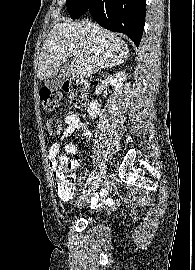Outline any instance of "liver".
Here are the masks:
<instances>
[{
  "label": "liver",
  "instance_id": "liver-1",
  "mask_svg": "<svg viewBox=\"0 0 195 270\" xmlns=\"http://www.w3.org/2000/svg\"><path fill=\"white\" fill-rule=\"evenodd\" d=\"M76 51L69 72L72 78L91 77L101 68H112L128 57V45L121 38L91 21L56 24L44 41L37 77L51 76L70 52Z\"/></svg>",
  "mask_w": 195,
  "mask_h": 270
}]
</instances>
